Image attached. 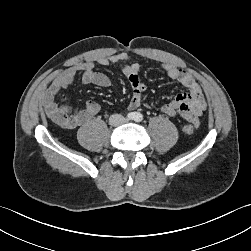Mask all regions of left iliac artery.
Listing matches in <instances>:
<instances>
[{
  "label": "left iliac artery",
  "mask_w": 251,
  "mask_h": 251,
  "mask_svg": "<svg viewBox=\"0 0 251 251\" xmlns=\"http://www.w3.org/2000/svg\"><path fill=\"white\" fill-rule=\"evenodd\" d=\"M142 118H141V116L140 115H138L137 117H136V121H140Z\"/></svg>",
  "instance_id": "1"
}]
</instances>
